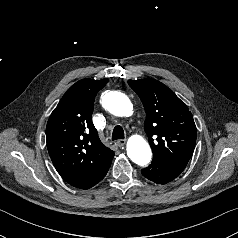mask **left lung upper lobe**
<instances>
[{
  "instance_id": "5c2ea615",
  "label": "left lung upper lobe",
  "mask_w": 238,
  "mask_h": 238,
  "mask_svg": "<svg viewBox=\"0 0 238 238\" xmlns=\"http://www.w3.org/2000/svg\"><path fill=\"white\" fill-rule=\"evenodd\" d=\"M128 84L145 108L144 130L153 161L185 168L196 143V126L187 106L157 80H129Z\"/></svg>"
}]
</instances>
